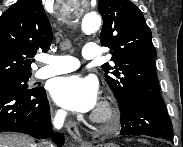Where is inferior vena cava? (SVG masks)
<instances>
[{
    "label": "inferior vena cava",
    "mask_w": 183,
    "mask_h": 147,
    "mask_svg": "<svg viewBox=\"0 0 183 147\" xmlns=\"http://www.w3.org/2000/svg\"><path fill=\"white\" fill-rule=\"evenodd\" d=\"M65 116H66V112H64L63 110H60L57 112L56 117L53 120L54 128L60 129L63 126ZM48 144L49 142L44 141L41 143L40 147H47Z\"/></svg>",
    "instance_id": "602c4592"
}]
</instances>
